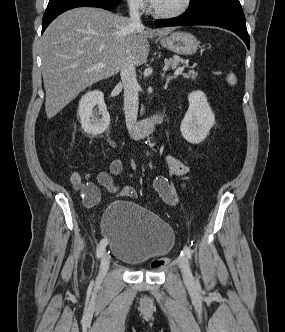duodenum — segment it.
Segmentation results:
<instances>
[{
  "instance_id": "410a0bca",
  "label": "duodenum",
  "mask_w": 285,
  "mask_h": 332,
  "mask_svg": "<svg viewBox=\"0 0 285 332\" xmlns=\"http://www.w3.org/2000/svg\"><path fill=\"white\" fill-rule=\"evenodd\" d=\"M161 122L162 115L155 114L153 117L137 123L132 129V135L134 138H145L151 135Z\"/></svg>"
}]
</instances>
